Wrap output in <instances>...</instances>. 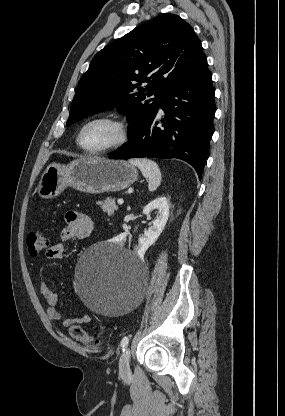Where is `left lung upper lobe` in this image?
Wrapping results in <instances>:
<instances>
[{"label": "left lung upper lobe", "mask_w": 285, "mask_h": 416, "mask_svg": "<svg viewBox=\"0 0 285 416\" xmlns=\"http://www.w3.org/2000/svg\"><path fill=\"white\" fill-rule=\"evenodd\" d=\"M204 56L192 27L162 14L104 47L78 83L66 126L117 107L127 116L128 136L146 125L166 93ZM149 76V77H147ZM147 82L143 88L141 83ZM155 95L153 99H146Z\"/></svg>", "instance_id": "left-lung-upper-lobe-1"}]
</instances>
